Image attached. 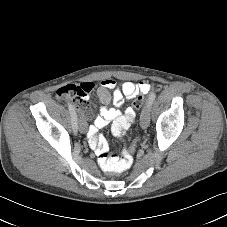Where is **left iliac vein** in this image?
Segmentation results:
<instances>
[{
	"mask_svg": "<svg viewBox=\"0 0 227 227\" xmlns=\"http://www.w3.org/2000/svg\"><path fill=\"white\" fill-rule=\"evenodd\" d=\"M150 111H151V108H150L149 103L147 102L142 110L141 118H140V125L143 129H146L149 126Z\"/></svg>",
	"mask_w": 227,
	"mask_h": 227,
	"instance_id": "4c4485c4",
	"label": "left iliac vein"
}]
</instances>
